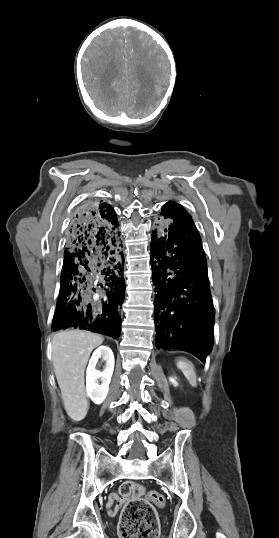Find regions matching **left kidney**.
<instances>
[{"instance_id": "5707ae66", "label": "left kidney", "mask_w": 279, "mask_h": 538, "mask_svg": "<svg viewBox=\"0 0 279 538\" xmlns=\"http://www.w3.org/2000/svg\"><path fill=\"white\" fill-rule=\"evenodd\" d=\"M170 382H172L173 386H178L175 378H169Z\"/></svg>"}]
</instances>
